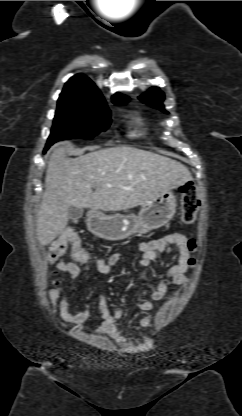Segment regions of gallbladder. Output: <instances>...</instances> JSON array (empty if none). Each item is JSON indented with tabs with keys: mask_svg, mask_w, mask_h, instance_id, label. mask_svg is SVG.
I'll list each match as a JSON object with an SVG mask.
<instances>
[{
	"mask_svg": "<svg viewBox=\"0 0 242 416\" xmlns=\"http://www.w3.org/2000/svg\"><path fill=\"white\" fill-rule=\"evenodd\" d=\"M69 219L75 221L82 217L83 209L77 208L75 206H70L68 209Z\"/></svg>",
	"mask_w": 242,
	"mask_h": 416,
	"instance_id": "1",
	"label": "gallbladder"
}]
</instances>
